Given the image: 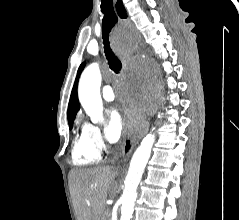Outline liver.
Returning <instances> with one entry per match:
<instances>
[{"label":"liver","instance_id":"1","mask_svg":"<svg viewBox=\"0 0 239 220\" xmlns=\"http://www.w3.org/2000/svg\"><path fill=\"white\" fill-rule=\"evenodd\" d=\"M117 175L110 166L70 171L69 183L77 220H102L107 195Z\"/></svg>","mask_w":239,"mask_h":220}]
</instances>
